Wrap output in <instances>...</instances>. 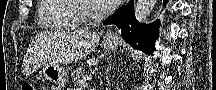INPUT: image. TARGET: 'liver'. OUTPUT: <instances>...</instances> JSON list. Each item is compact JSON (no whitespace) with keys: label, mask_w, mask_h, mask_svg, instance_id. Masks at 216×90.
<instances>
[{"label":"liver","mask_w":216,"mask_h":90,"mask_svg":"<svg viewBox=\"0 0 216 90\" xmlns=\"http://www.w3.org/2000/svg\"><path fill=\"white\" fill-rule=\"evenodd\" d=\"M99 36L91 30H68L65 32V46L67 48V62H77L84 56L94 52L99 44Z\"/></svg>","instance_id":"6515ba94"}]
</instances>
